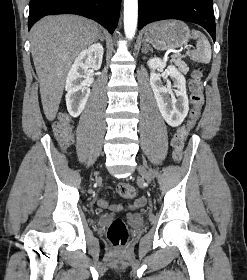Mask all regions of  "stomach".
Returning <instances> with one entry per match:
<instances>
[{
	"label": "stomach",
	"mask_w": 247,
	"mask_h": 280,
	"mask_svg": "<svg viewBox=\"0 0 247 280\" xmlns=\"http://www.w3.org/2000/svg\"><path fill=\"white\" fill-rule=\"evenodd\" d=\"M191 38L188 26L180 20H165L149 25L144 39L158 50H171L186 45Z\"/></svg>",
	"instance_id": "0dacf381"
}]
</instances>
